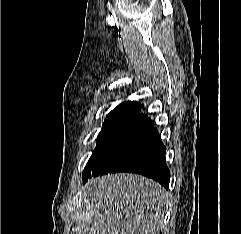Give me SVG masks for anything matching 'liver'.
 <instances>
[{"mask_svg": "<svg viewBox=\"0 0 241 234\" xmlns=\"http://www.w3.org/2000/svg\"><path fill=\"white\" fill-rule=\"evenodd\" d=\"M82 199L93 213L89 234H159L169 193L149 178L119 173L90 179Z\"/></svg>", "mask_w": 241, "mask_h": 234, "instance_id": "liver-1", "label": "liver"}]
</instances>
